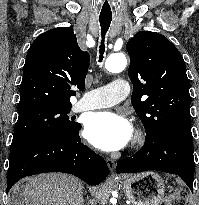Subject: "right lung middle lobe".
Returning a JSON list of instances; mask_svg holds the SVG:
<instances>
[{
    "mask_svg": "<svg viewBox=\"0 0 199 205\" xmlns=\"http://www.w3.org/2000/svg\"><path fill=\"white\" fill-rule=\"evenodd\" d=\"M72 105L38 107L19 113L10 149L40 138L74 132L80 124L68 116Z\"/></svg>",
    "mask_w": 199,
    "mask_h": 205,
    "instance_id": "obj_1",
    "label": "right lung middle lobe"
}]
</instances>
